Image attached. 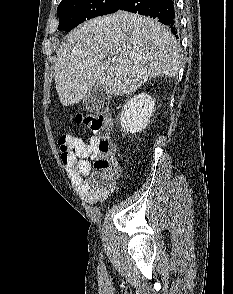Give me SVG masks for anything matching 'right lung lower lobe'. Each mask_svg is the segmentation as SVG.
Instances as JSON below:
<instances>
[{
	"label": "right lung lower lobe",
	"mask_w": 233,
	"mask_h": 294,
	"mask_svg": "<svg viewBox=\"0 0 233 294\" xmlns=\"http://www.w3.org/2000/svg\"><path fill=\"white\" fill-rule=\"evenodd\" d=\"M118 10H125L158 19L171 32H178V20L173 0H125Z\"/></svg>",
	"instance_id": "obj_1"
}]
</instances>
